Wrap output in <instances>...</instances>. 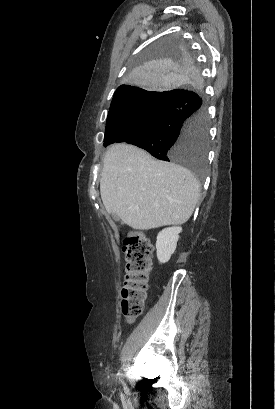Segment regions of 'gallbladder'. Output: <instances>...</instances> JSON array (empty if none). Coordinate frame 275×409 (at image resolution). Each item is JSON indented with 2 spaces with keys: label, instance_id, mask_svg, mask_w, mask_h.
<instances>
[{
  "label": "gallbladder",
  "instance_id": "gallbladder-1",
  "mask_svg": "<svg viewBox=\"0 0 275 409\" xmlns=\"http://www.w3.org/2000/svg\"><path fill=\"white\" fill-rule=\"evenodd\" d=\"M114 221H120L119 217H117V215H112Z\"/></svg>",
  "mask_w": 275,
  "mask_h": 409
}]
</instances>
